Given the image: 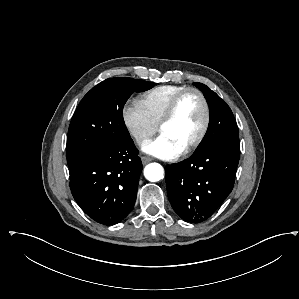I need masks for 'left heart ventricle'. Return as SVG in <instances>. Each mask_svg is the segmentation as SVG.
I'll return each instance as SVG.
<instances>
[{
  "label": "left heart ventricle",
  "mask_w": 299,
  "mask_h": 299,
  "mask_svg": "<svg viewBox=\"0 0 299 299\" xmlns=\"http://www.w3.org/2000/svg\"><path fill=\"white\" fill-rule=\"evenodd\" d=\"M203 119L202 102L190 93L181 100L173 120L160 133L183 150L197 136Z\"/></svg>",
  "instance_id": "left-heart-ventricle-1"
}]
</instances>
